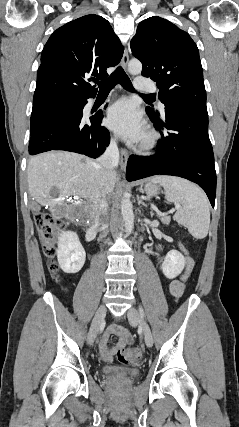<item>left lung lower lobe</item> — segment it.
<instances>
[{"mask_svg":"<svg viewBox=\"0 0 239 427\" xmlns=\"http://www.w3.org/2000/svg\"><path fill=\"white\" fill-rule=\"evenodd\" d=\"M154 126L161 133L158 151L150 157L131 155L127 163L128 181L153 175H172L197 183L214 207L216 172L212 145L208 136V114L200 111L165 105V122L159 114L146 109Z\"/></svg>","mask_w":239,"mask_h":427,"instance_id":"1","label":"left lung lower lobe"}]
</instances>
